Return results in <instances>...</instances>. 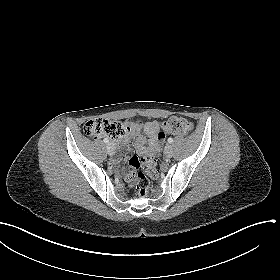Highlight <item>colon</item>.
I'll return each mask as SVG.
<instances>
[{"mask_svg":"<svg viewBox=\"0 0 280 280\" xmlns=\"http://www.w3.org/2000/svg\"><path fill=\"white\" fill-rule=\"evenodd\" d=\"M192 129V124L182 117H171L163 123V130L176 135H186ZM87 136L98 138L107 136L116 138L123 134L121 123L103 118H95L87 121L83 127ZM156 161L150 154H145L138 159L136 157L130 160V170L126 178L129 182L135 184L138 195L145 197L147 195L149 180L148 176L156 175Z\"/></svg>","mask_w":280,"mask_h":280,"instance_id":"colon-1","label":"colon"}]
</instances>
